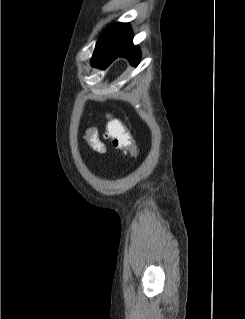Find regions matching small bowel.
<instances>
[{
  "label": "small bowel",
  "mask_w": 245,
  "mask_h": 319,
  "mask_svg": "<svg viewBox=\"0 0 245 319\" xmlns=\"http://www.w3.org/2000/svg\"><path fill=\"white\" fill-rule=\"evenodd\" d=\"M86 139L93 150L99 153H105V146L100 140L96 129H89L86 133Z\"/></svg>",
  "instance_id": "c3829d8e"
}]
</instances>
